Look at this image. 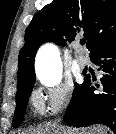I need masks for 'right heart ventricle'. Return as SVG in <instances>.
Listing matches in <instances>:
<instances>
[{
  "label": "right heart ventricle",
  "mask_w": 116,
  "mask_h": 134,
  "mask_svg": "<svg viewBox=\"0 0 116 134\" xmlns=\"http://www.w3.org/2000/svg\"><path fill=\"white\" fill-rule=\"evenodd\" d=\"M33 104H34V106H35L37 109H40L38 103L36 102V100H35L34 98H33Z\"/></svg>",
  "instance_id": "right-heart-ventricle-1"
}]
</instances>
